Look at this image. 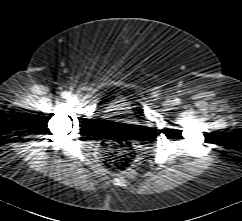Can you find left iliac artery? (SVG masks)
<instances>
[{
    "instance_id": "left-iliac-artery-1",
    "label": "left iliac artery",
    "mask_w": 242,
    "mask_h": 221,
    "mask_svg": "<svg viewBox=\"0 0 242 221\" xmlns=\"http://www.w3.org/2000/svg\"><path fill=\"white\" fill-rule=\"evenodd\" d=\"M174 102H175V104H179L180 103V99H178V98H176L175 100H174Z\"/></svg>"
}]
</instances>
